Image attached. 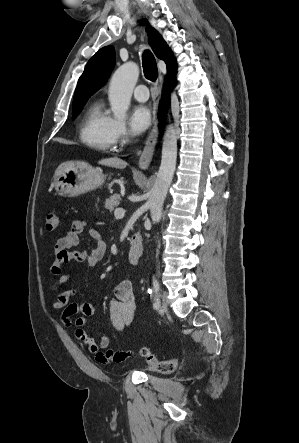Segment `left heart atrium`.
Segmentation results:
<instances>
[{
    "mask_svg": "<svg viewBox=\"0 0 299 443\" xmlns=\"http://www.w3.org/2000/svg\"><path fill=\"white\" fill-rule=\"evenodd\" d=\"M151 112L147 106H135L130 115V127L133 133L144 132L151 124Z\"/></svg>",
    "mask_w": 299,
    "mask_h": 443,
    "instance_id": "left-heart-atrium-1",
    "label": "left heart atrium"
}]
</instances>
